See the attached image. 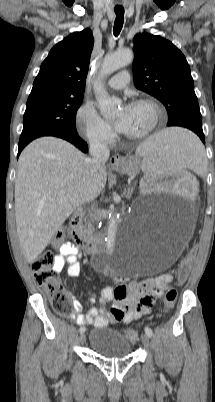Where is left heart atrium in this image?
Masks as SVG:
<instances>
[{"mask_svg":"<svg viewBox=\"0 0 215 402\" xmlns=\"http://www.w3.org/2000/svg\"><path fill=\"white\" fill-rule=\"evenodd\" d=\"M130 123V106H124L114 122L116 130L126 133Z\"/></svg>","mask_w":215,"mask_h":402,"instance_id":"obj_1","label":"left heart atrium"}]
</instances>
